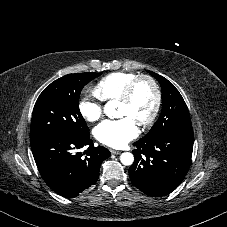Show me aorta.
I'll return each instance as SVG.
<instances>
[{
	"label": "aorta",
	"mask_w": 227,
	"mask_h": 227,
	"mask_svg": "<svg viewBox=\"0 0 227 227\" xmlns=\"http://www.w3.org/2000/svg\"><path fill=\"white\" fill-rule=\"evenodd\" d=\"M104 113L109 117L113 118L115 117V102L114 101H109L107 104L104 106ZM121 163L123 165H131L134 161V156L133 154L129 152H124L120 156Z\"/></svg>",
	"instance_id": "1"
}]
</instances>
